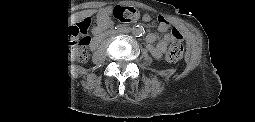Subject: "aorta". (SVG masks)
Masks as SVG:
<instances>
[{
	"label": "aorta",
	"instance_id": "aorta-1",
	"mask_svg": "<svg viewBox=\"0 0 255 122\" xmlns=\"http://www.w3.org/2000/svg\"><path fill=\"white\" fill-rule=\"evenodd\" d=\"M143 33H144V29L141 26H135L132 29V34L136 37L142 36Z\"/></svg>",
	"mask_w": 255,
	"mask_h": 122
}]
</instances>
